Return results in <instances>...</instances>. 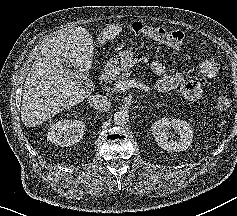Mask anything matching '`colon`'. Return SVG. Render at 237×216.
<instances>
[{"label":"colon","instance_id":"1","mask_svg":"<svg viewBox=\"0 0 237 216\" xmlns=\"http://www.w3.org/2000/svg\"><path fill=\"white\" fill-rule=\"evenodd\" d=\"M131 28L137 35H142L155 41H159L172 48H181L186 43V37L181 31H167L162 28L148 26L141 22L133 23ZM216 104L220 110L228 109L231 105L228 92L222 91L217 98Z\"/></svg>","mask_w":237,"mask_h":216}]
</instances>
